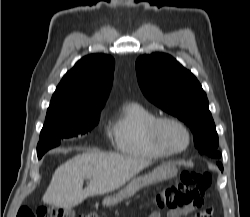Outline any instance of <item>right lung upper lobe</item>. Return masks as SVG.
I'll use <instances>...</instances> for the list:
<instances>
[{
    "label": "right lung upper lobe",
    "mask_w": 250,
    "mask_h": 217,
    "mask_svg": "<svg viewBox=\"0 0 250 217\" xmlns=\"http://www.w3.org/2000/svg\"><path fill=\"white\" fill-rule=\"evenodd\" d=\"M114 59L105 54L83 57L57 86L46 118L101 110L108 98Z\"/></svg>",
    "instance_id": "1"
}]
</instances>
